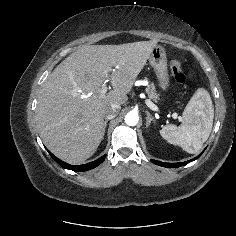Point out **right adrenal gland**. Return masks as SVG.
Listing matches in <instances>:
<instances>
[{"label":"right adrenal gland","instance_id":"obj_1","mask_svg":"<svg viewBox=\"0 0 236 236\" xmlns=\"http://www.w3.org/2000/svg\"><path fill=\"white\" fill-rule=\"evenodd\" d=\"M107 122H108V120L104 121V127H103V132H102V139H103V137L105 135V129H106V126H107Z\"/></svg>","mask_w":236,"mask_h":236}]
</instances>
